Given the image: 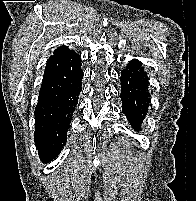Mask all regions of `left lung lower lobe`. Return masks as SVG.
I'll return each mask as SVG.
<instances>
[{
  "label": "left lung lower lobe",
  "instance_id": "1",
  "mask_svg": "<svg viewBox=\"0 0 196 201\" xmlns=\"http://www.w3.org/2000/svg\"><path fill=\"white\" fill-rule=\"evenodd\" d=\"M122 112L135 131H139L148 112L149 94L146 73L137 60L129 61L121 71Z\"/></svg>",
  "mask_w": 196,
  "mask_h": 201
}]
</instances>
